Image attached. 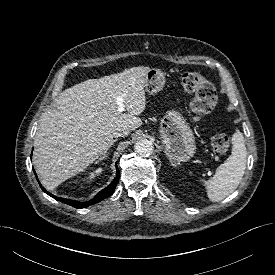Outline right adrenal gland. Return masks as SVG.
Wrapping results in <instances>:
<instances>
[{
  "mask_svg": "<svg viewBox=\"0 0 275 275\" xmlns=\"http://www.w3.org/2000/svg\"><path fill=\"white\" fill-rule=\"evenodd\" d=\"M116 141H117V140H113L111 146H112ZM111 146H110V147H111ZM108 155H109V152L104 153L103 156H101V157L98 159V161H100V160H102V159H106V158L108 157Z\"/></svg>",
  "mask_w": 275,
  "mask_h": 275,
  "instance_id": "2a0ac1e0",
  "label": "right adrenal gland"
}]
</instances>
